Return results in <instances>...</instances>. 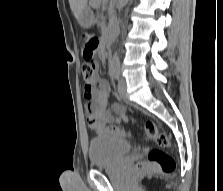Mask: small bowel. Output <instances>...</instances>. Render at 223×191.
<instances>
[{
	"label": "small bowel",
	"instance_id": "c3829d8e",
	"mask_svg": "<svg viewBox=\"0 0 223 191\" xmlns=\"http://www.w3.org/2000/svg\"><path fill=\"white\" fill-rule=\"evenodd\" d=\"M110 84L106 80H96L86 83L84 96L89 100L86 104L89 128L97 134H102L110 123H122L128 120V114L122 103L109 102Z\"/></svg>",
	"mask_w": 223,
	"mask_h": 191
}]
</instances>
